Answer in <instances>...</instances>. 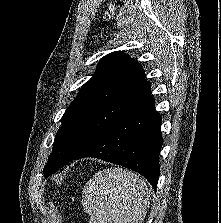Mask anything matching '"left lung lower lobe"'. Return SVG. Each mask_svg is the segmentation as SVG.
<instances>
[{"label": "left lung lower lobe", "instance_id": "0a47b994", "mask_svg": "<svg viewBox=\"0 0 221 223\" xmlns=\"http://www.w3.org/2000/svg\"><path fill=\"white\" fill-rule=\"evenodd\" d=\"M160 124L161 117L149 90L73 160L94 157L124 166L143 175L156 189L163 143Z\"/></svg>", "mask_w": 221, "mask_h": 223}]
</instances>
